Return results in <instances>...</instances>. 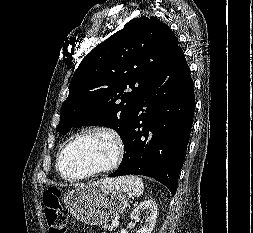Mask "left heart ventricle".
Segmentation results:
<instances>
[{"label":"left heart ventricle","mask_w":253,"mask_h":233,"mask_svg":"<svg viewBox=\"0 0 253 233\" xmlns=\"http://www.w3.org/2000/svg\"><path fill=\"white\" fill-rule=\"evenodd\" d=\"M112 140L92 134L72 143L62 158V171L70 177L88 173L108 164L114 156Z\"/></svg>","instance_id":"b2bd125f"}]
</instances>
